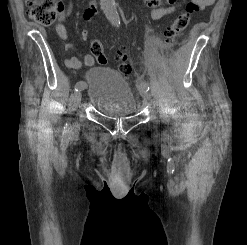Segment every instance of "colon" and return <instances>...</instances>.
<instances>
[{
	"label": "colon",
	"instance_id": "1",
	"mask_svg": "<svg viewBox=\"0 0 247 245\" xmlns=\"http://www.w3.org/2000/svg\"><path fill=\"white\" fill-rule=\"evenodd\" d=\"M26 4L29 7L30 17L35 22L44 26L52 25L56 21L60 10V0H26ZM198 9L199 5L193 0L171 21L161 37L164 46L167 47L173 43L176 37L187 27L192 15ZM90 49L100 64L105 65L107 63V57L104 55L102 45L98 40L91 42ZM116 60L119 62V71L124 75H129L131 73V67L125 62L123 48L118 50Z\"/></svg>",
	"mask_w": 247,
	"mask_h": 245
}]
</instances>
